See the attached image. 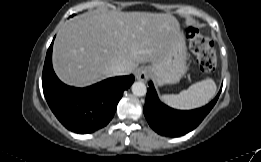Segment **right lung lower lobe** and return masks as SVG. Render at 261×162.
Masks as SVG:
<instances>
[{
    "label": "right lung lower lobe",
    "mask_w": 261,
    "mask_h": 162,
    "mask_svg": "<svg viewBox=\"0 0 261 162\" xmlns=\"http://www.w3.org/2000/svg\"><path fill=\"white\" fill-rule=\"evenodd\" d=\"M51 43L44 63L42 86L46 101L57 119L68 130L87 134L105 127L113 118L123 92L134 76L106 79L86 88L62 83L52 67Z\"/></svg>",
    "instance_id": "98d812e1"
}]
</instances>
